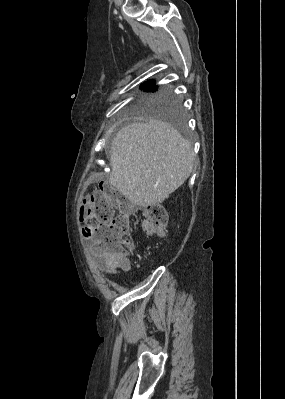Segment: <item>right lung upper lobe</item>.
Returning <instances> with one entry per match:
<instances>
[{"mask_svg": "<svg viewBox=\"0 0 285 399\" xmlns=\"http://www.w3.org/2000/svg\"><path fill=\"white\" fill-rule=\"evenodd\" d=\"M141 87L145 91H148V90L156 88V86L154 85L153 81H149L148 83H144Z\"/></svg>", "mask_w": 285, "mask_h": 399, "instance_id": "1", "label": "right lung upper lobe"}]
</instances>
